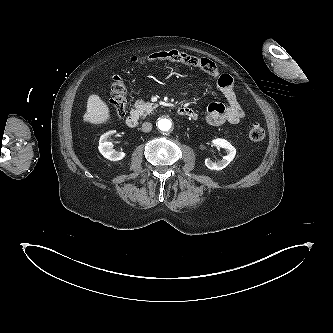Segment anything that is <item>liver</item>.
I'll list each match as a JSON object with an SVG mask.
<instances>
[{
	"instance_id": "6515ba94",
	"label": "liver",
	"mask_w": 333,
	"mask_h": 333,
	"mask_svg": "<svg viewBox=\"0 0 333 333\" xmlns=\"http://www.w3.org/2000/svg\"><path fill=\"white\" fill-rule=\"evenodd\" d=\"M110 118L108 105L98 95H90L87 100V109L83 116V122L103 124L108 122Z\"/></svg>"
}]
</instances>
